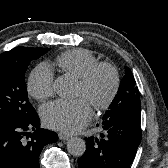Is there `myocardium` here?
I'll return each mask as SVG.
<instances>
[{"label":"myocardium","instance_id":"f54148a6","mask_svg":"<svg viewBox=\"0 0 168 168\" xmlns=\"http://www.w3.org/2000/svg\"><path fill=\"white\" fill-rule=\"evenodd\" d=\"M102 70H105L109 73L111 78V85L109 92L102 100L92 103L93 107L98 111L107 110L112 105L118 94L120 77L117 68L109 62H97L91 66L83 76L79 78V83L85 89H88L93 83L97 74Z\"/></svg>","mask_w":168,"mask_h":168}]
</instances>
